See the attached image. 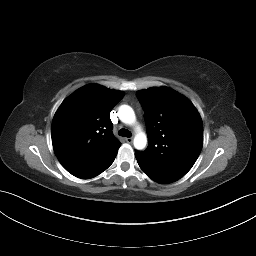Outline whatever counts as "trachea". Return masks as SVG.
I'll list each match as a JSON object with an SVG mask.
<instances>
[{
    "mask_svg": "<svg viewBox=\"0 0 256 256\" xmlns=\"http://www.w3.org/2000/svg\"><path fill=\"white\" fill-rule=\"evenodd\" d=\"M119 135L129 138V137H131L132 134L129 130L122 128V129L119 130Z\"/></svg>",
    "mask_w": 256,
    "mask_h": 256,
    "instance_id": "1",
    "label": "trachea"
}]
</instances>
